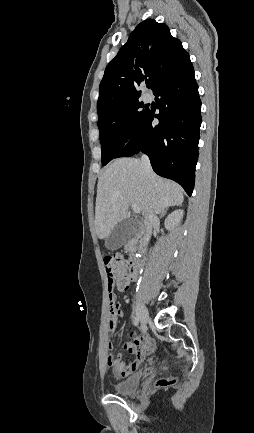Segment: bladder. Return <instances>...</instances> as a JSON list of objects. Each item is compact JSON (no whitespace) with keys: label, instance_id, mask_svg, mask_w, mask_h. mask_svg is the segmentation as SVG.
I'll return each instance as SVG.
<instances>
[{"label":"bladder","instance_id":"bladder-1","mask_svg":"<svg viewBox=\"0 0 254 433\" xmlns=\"http://www.w3.org/2000/svg\"><path fill=\"white\" fill-rule=\"evenodd\" d=\"M141 383V374H135L126 380L113 384L112 388L116 394L130 395L135 393Z\"/></svg>","mask_w":254,"mask_h":433}]
</instances>
